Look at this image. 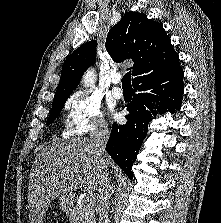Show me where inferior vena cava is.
Here are the masks:
<instances>
[{
    "mask_svg": "<svg viewBox=\"0 0 221 223\" xmlns=\"http://www.w3.org/2000/svg\"><path fill=\"white\" fill-rule=\"evenodd\" d=\"M110 136L108 125L105 122L99 123L93 132L92 141L95 145V151L99 160L100 180H99V196L97 203V212L99 215V223H105L108 219V211L110 206V179L108 173V156L106 152V144Z\"/></svg>",
    "mask_w": 221,
    "mask_h": 223,
    "instance_id": "1",
    "label": "inferior vena cava"
}]
</instances>
